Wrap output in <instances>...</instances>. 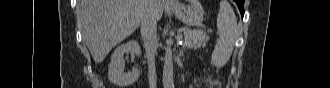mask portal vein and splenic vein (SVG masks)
<instances>
[{
	"instance_id": "18ae733b",
	"label": "portal vein and splenic vein",
	"mask_w": 330,
	"mask_h": 88,
	"mask_svg": "<svg viewBox=\"0 0 330 88\" xmlns=\"http://www.w3.org/2000/svg\"><path fill=\"white\" fill-rule=\"evenodd\" d=\"M181 36H177V39H180Z\"/></svg>"
}]
</instances>
